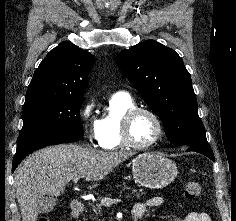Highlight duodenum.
<instances>
[{"mask_svg": "<svg viewBox=\"0 0 236 221\" xmlns=\"http://www.w3.org/2000/svg\"><path fill=\"white\" fill-rule=\"evenodd\" d=\"M72 217L77 220L84 211V204L79 200H73L70 205Z\"/></svg>", "mask_w": 236, "mask_h": 221, "instance_id": "duodenum-1", "label": "duodenum"}]
</instances>
